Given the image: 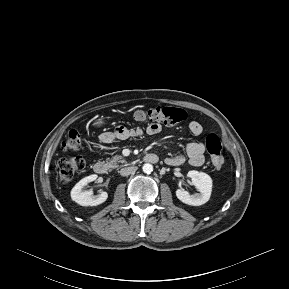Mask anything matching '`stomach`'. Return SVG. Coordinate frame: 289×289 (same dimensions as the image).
<instances>
[{
  "instance_id": "stomach-1",
  "label": "stomach",
  "mask_w": 289,
  "mask_h": 289,
  "mask_svg": "<svg viewBox=\"0 0 289 289\" xmlns=\"http://www.w3.org/2000/svg\"><path fill=\"white\" fill-rule=\"evenodd\" d=\"M105 124V120L104 119H102V118H100V119H97L95 122H94V126H96V127H101V126H103Z\"/></svg>"
}]
</instances>
